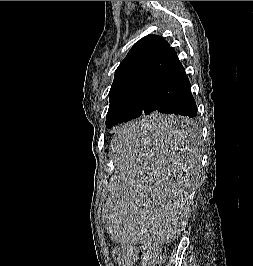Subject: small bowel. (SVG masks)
Returning <instances> with one entry per match:
<instances>
[{
	"instance_id": "c3829d8e",
	"label": "small bowel",
	"mask_w": 253,
	"mask_h": 266,
	"mask_svg": "<svg viewBox=\"0 0 253 266\" xmlns=\"http://www.w3.org/2000/svg\"><path fill=\"white\" fill-rule=\"evenodd\" d=\"M132 265V262H130L129 264H128V266H131Z\"/></svg>"
}]
</instances>
